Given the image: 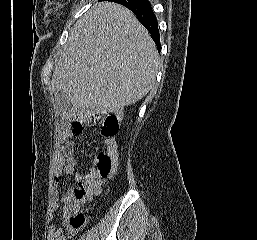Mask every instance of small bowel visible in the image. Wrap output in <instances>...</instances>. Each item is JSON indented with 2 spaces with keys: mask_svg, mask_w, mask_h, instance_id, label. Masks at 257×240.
Returning a JSON list of instances; mask_svg holds the SVG:
<instances>
[{
  "mask_svg": "<svg viewBox=\"0 0 257 240\" xmlns=\"http://www.w3.org/2000/svg\"><path fill=\"white\" fill-rule=\"evenodd\" d=\"M81 132L75 133L69 127H62L57 131L55 141V155H54V167H53V181L57 187L62 179L63 175H74V179L80 182L83 175L80 172H76L78 162L74 156V142L73 138L80 135ZM107 152L116 160L118 156L117 143L114 138H110L104 141ZM72 190L68 189L59 198H56L50 209V219L52 220L54 215L59 210V202H65ZM76 233L68 225L57 227L54 224H50L48 227V240H66V237H72Z\"/></svg>",
  "mask_w": 257,
  "mask_h": 240,
  "instance_id": "c3829d8e",
  "label": "small bowel"
}]
</instances>
